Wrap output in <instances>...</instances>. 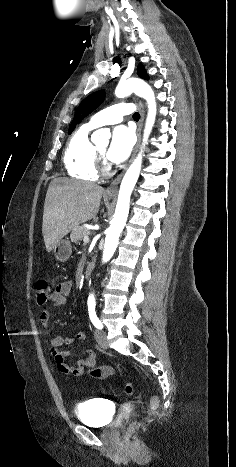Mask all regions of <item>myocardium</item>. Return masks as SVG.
Returning <instances> with one entry per match:
<instances>
[{
  "instance_id": "1",
  "label": "myocardium",
  "mask_w": 236,
  "mask_h": 467,
  "mask_svg": "<svg viewBox=\"0 0 236 467\" xmlns=\"http://www.w3.org/2000/svg\"><path fill=\"white\" fill-rule=\"evenodd\" d=\"M96 155H97V170L98 173H101L104 176H108L111 174V166L107 162L105 155L96 148Z\"/></svg>"
}]
</instances>
